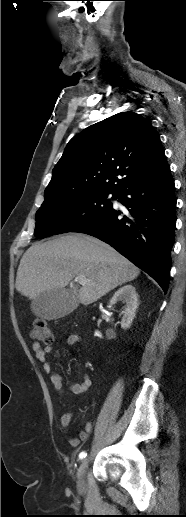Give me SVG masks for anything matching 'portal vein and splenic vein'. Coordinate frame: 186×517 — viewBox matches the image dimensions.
<instances>
[{
    "label": "portal vein and splenic vein",
    "instance_id": "obj_1",
    "mask_svg": "<svg viewBox=\"0 0 186 517\" xmlns=\"http://www.w3.org/2000/svg\"><path fill=\"white\" fill-rule=\"evenodd\" d=\"M75 281H77L79 284L84 285L87 284L89 281L84 277H76Z\"/></svg>",
    "mask_w": 186,
    "mask_h": 517
}]
</instances>
